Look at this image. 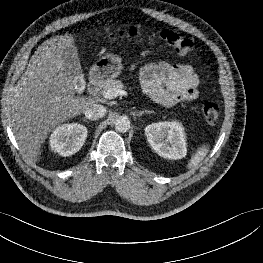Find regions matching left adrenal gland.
<instances>
[{"label":"left adrenal gland","mask_w":263,"mask_h":263,"mask_svg":"<svg viewBox=\"0 0 263 263\" xmlns=\"http://www.w3.org/2000/svg\"><path fill=\"white\" fill-rule=\"evenodd\" d=\"M144 113H153V111H149V110H144V111H140V112H138L136 115L138 116V117H140V116H142Z\"/></svg>","instance_id":"1"}]
</instances>
